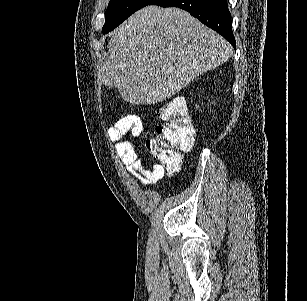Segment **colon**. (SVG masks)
<instances>
[{"label":"colon","instance_id":"5ec220e1","mask_svg":"<svg viewBox=\"0 0 307 301\" xmlns=\"http://www.w3.org/2000/svg\"><path fill=\"white\" fill-rule=\"evenodd\" d=\"M158 116L163 123L156 126L153 136L146 141V148L160 162L164 172L174 174L182 164L180 151L189 150L194 143L186 102L172 98L162 104Z\"/></svg>","mask_w":307,"mask_h":301}]
</instances>
